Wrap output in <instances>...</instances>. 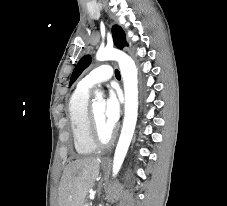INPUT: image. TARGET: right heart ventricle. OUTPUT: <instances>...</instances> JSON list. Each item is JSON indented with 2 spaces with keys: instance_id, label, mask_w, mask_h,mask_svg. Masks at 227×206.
Wrapping results in <instances>:
<instances>
[{
  "instance_id": "obj_1",
  "label": "right heart ventricle",
  "mask_w": 227,
  "mask_h": 206,
  "mask_svg": "<svg viewBox=\"0 0 227 206\" xmlns=\"http://www.w3.org/2000/svg\"><path fill=\"white\" fill-rule=\"evenodd\" d=\"M88 109L89 90L78 86L68 102V120L74 148L79 155H89L96 150L89 134Z\"/></svg>"
}]
</instances>
